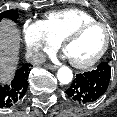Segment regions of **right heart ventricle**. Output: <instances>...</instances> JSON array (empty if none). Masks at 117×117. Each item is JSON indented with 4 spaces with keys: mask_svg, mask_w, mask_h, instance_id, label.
<instances>
[{
    "mask_svg": "<svg viewBox=\"0 0 117 117\" xmlns=\"http://www.w3.org/2000/svg\"><path fill=\"white\" fill-rule=\"evenodd\" d=\"M96 19L86 11L80 9H65L53 11L45 16L42 21L51 35L59 42L73 29Z\"/></svg>",
    "mask_w": 117,
    "mask_h": 117,
    "instance_id": "e07e8e85",
    "label": "right heart ventricle"
}]
</instances>
